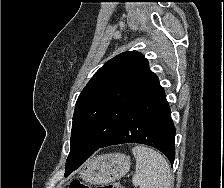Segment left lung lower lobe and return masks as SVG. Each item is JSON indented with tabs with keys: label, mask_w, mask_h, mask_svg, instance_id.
<instances>
[{
	"label": "left lung lower lobe",
	"mask_w": 224,
	"mask_h": 188,
	"mask_svg": "<svg viewBox=\"0 0 224 188\" xmlns=\"http://www.w3.org/2000/svg\"><path fill=\"white\" fill-rule=\"evenodd\" d=\"M174 141L175 127L170 108L165 91L158 82L131 104L117 127L99 148L123 143L147 144L159 149L173 164ZM81 164L82 162L66 169L65 176Z\"/></svg>",
	"instance_id": "left-lung-lower-lobe-1"
}]
</instances>
